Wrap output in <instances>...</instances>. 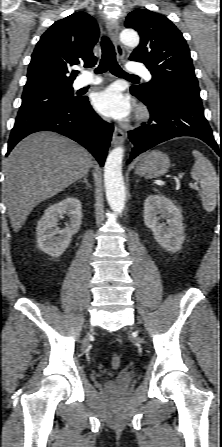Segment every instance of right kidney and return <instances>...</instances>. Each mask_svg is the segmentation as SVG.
Returning a JSON list of instances; mask_svg holds the SVG:
<instances>
[{
	"instance_id": "1",
	"label": "right kidney",
	"mask_w": 222,
	"mask_h": 447,
	"mask_svg": "<svg viewBox=\"0 0 222 447\" xmlns=\"http://www.w3.org/2000/svg\"><path fill=\"white\" fill-rule=\"evenodd\" d=\"M63 215L69 217L64 229L59 230L57 222ZM81 202L77 198L67 197L50 205L38 222L36 229L37 245L46 254L59 257L69 247L72 236L81 226ZM58 235V236H57Z\"/></svg>"
}]
</instances>
